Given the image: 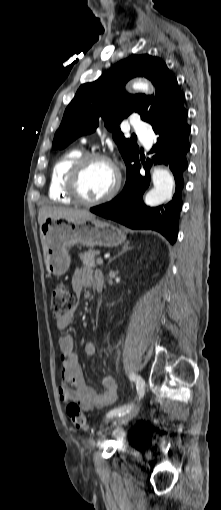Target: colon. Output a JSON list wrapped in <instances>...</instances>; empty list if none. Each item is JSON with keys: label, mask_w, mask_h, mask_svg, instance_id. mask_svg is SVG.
<instances>
[{"label": "colon", "mask_w": 221, "mask_h": 510, "mask_svg": "<svg viewBox=\"0 0 221 510\" xmlns=\"http://www.w3.org/2000/svg\"><path fill=\"white\" fill-rule=\"evenodd\" d=\"M75 305L74 294L65 284H58L53 289L51 297V313L54 318H60L68 311L72 310ZM67 414L72 424L84 431H91L85 414L81 411L79 405L70 402L67 405Z\"/></svg>", "instance_id": "colon-1"}]
</instances>
